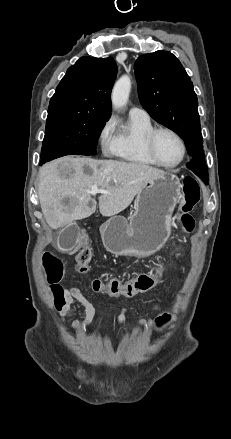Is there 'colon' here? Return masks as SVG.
<instances>
[{"label":"colon","instance_id":"1","mask_svg":"<svg viewBox=\"0 0 231 439\" xmlns=\"http://www.w3.org/2000/svg\"><path fill=\"white\" fill-rule=\"evenodd\" d=\"M201 193L197 181L192 177H186L183 184V196L179 203L178 221L182 230L189 233L194 228V220L190 212L200 201ZM87 237L81 236L78 243L79 251L76 254V270L79 273H86L89 270L92 259V250L87 246ZM44 257V267L47 279L54 295V304L49 305L51 313H60L63 306V288L60 282L64 276V265L62 261L53 254H49L47 249L42 251ZM163 266H155L148 270H141L140 275L128 281L119 279L95 278L91 282V288L98 293H104L109 297L125 296L135 298L142 291L145 293L150 287L158 285L163 275ZM170 321L169 314H163L157 319V326L162 328Z\"/></svg>","mask_w":231,"mask_h":439}]
</instances>
